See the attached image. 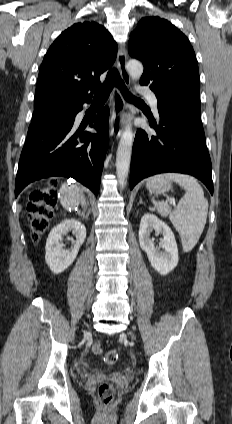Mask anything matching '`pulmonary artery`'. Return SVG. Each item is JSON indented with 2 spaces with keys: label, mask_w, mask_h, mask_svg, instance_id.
<instances>
[{
  "label": "pulmonary artery",
  "mask_w": 232,
  "mask_h": 424,
  "mask_svg": "<svg viewBox=\"0 0 232 424\" xmlns=\"http://www.w3.org/2000/svg\"><path fill=\"white\" fill-rule=\"evenodd\" d=\"M138 93L148 98L151 104L153 113L155 114V116L158 117V107H157L158 99L155 96V94L145 87H139Z\"/></svg>",
  "instance_id": "obj_1"
}]
</instances>
